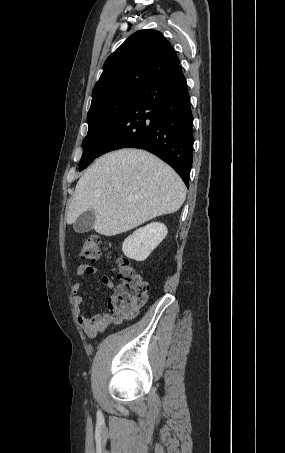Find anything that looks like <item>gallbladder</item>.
<instances>
[{"instance_id":"1","label":"gallbladder","mask_w":285,"mask_h":453,"mask_svg":"<svg viewBox=\"0 0 285 453\" xmlns=\"http://www.w3.org/2000/svg\"><path fill=\"white\" fill-rule=\"evenodd\" d=\"M95 219L96 217L93 209L87 210L76 219L73 228L77 233H86L93 228Z\"/></svg>"}]
</instances>
